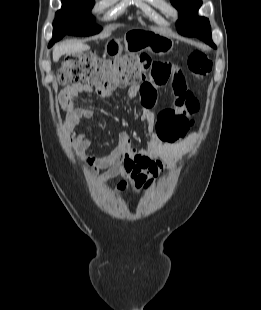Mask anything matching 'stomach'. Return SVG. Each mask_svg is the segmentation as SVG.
<instances>
[{
    "mask_svg": "<svg viewBox=\"0 0 261 310\" xmlns=\"http://www.w3.org/2000/svg\"><path fill=\"white\" fill-rule=\"evenodd\" d=\"M125 46L131 51L147 50L154 54L165 55L172 51L174 41L162 34L151 30L135 29L126 34ZM123 46L119 40H110L106 43L105 53L109 56H119Z\"/></svg>",
    "mask_w": 261,
    "mask_h": 310,
    "instance_id": "0dacf381",
    "label": "stomach"
}]
</instances>
